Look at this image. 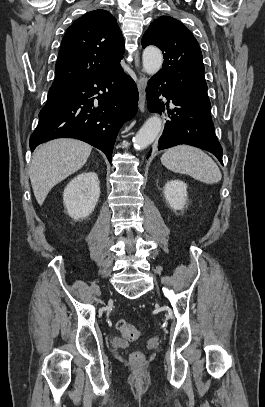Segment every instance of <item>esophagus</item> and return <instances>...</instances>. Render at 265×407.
<instances>
[{
    "label": "esophagus",
    "mask_w": 265,
    "mask_h": 407,
    "mask_svg": "<svg viewBox=\"0 0 265 407\" xmlns=\"http://www.w3.org/2000/svg\"><path fill=\"white\" fill-rule=\"evenodd\" d=\"M135 66L138 71V83H137L139 93L138 107L140 112H144L146 105L147 77L140 69V56L138 50L135 52Z\"/></svg>",
    "instance_id": "esophagus-1"
}]
</instances>
